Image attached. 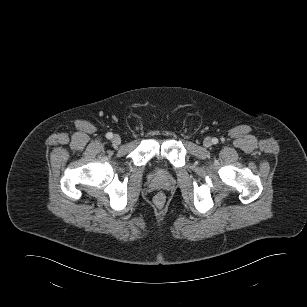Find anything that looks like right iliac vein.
Returning a JSON list of instances; mask_svg holds the SVG:
<instances>
[{"instance_id":"obj_1","label":"right iliac vein","mask_w":307,"mask_h":307,"mask_svg":"<svg viewBox=\"0 0 307 307\" xmlns=\"http://www.w3.org/2000/svg\"><path fill=\"white\" fill-rule=\"evenodd\" d=\"M113 145L117 146L121 143V138L119 135H114L112 138Z\"/></svg>"}]
</instances>
